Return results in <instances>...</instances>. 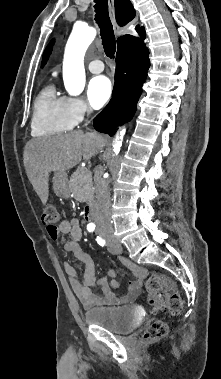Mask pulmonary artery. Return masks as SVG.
<instances>
[{"instance_id": "1", "label": "pulmonary artery", "mask_w": 221, "mask_h": 379, "mask_svg": "<svg viewBox=\"0 0 221 379\" xmlns=\"http://www.w3.org/2000/svg\"><path fill=\"white\" fill-rule=\"evenodd\" d=\"M88 69L92 73H100L104 70V65L100 60H92L88 63Z\"/></svg>"}]
</instances>
